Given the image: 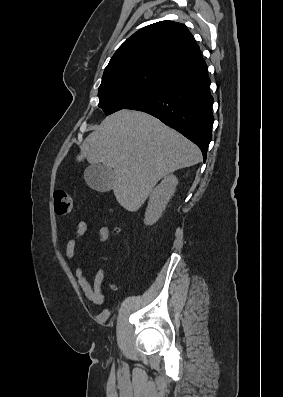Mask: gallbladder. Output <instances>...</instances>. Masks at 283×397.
<instances>
[{"mask_svg": "<svg viewBox=\"0 0 283 397\" xmlns=\"http://www.w3.org/2000/svg\"><path fill=\"white\" fill-rule=\"evenodd\" d=\"M87 185L98 192H108L112 189L114 171L102 163L93 164L84 171Z\"/></svg>", "mask_w": 283, "mask_h": 397, "instance_id": "bac80fb5", "label": "gallbladder"}]
</instances>
